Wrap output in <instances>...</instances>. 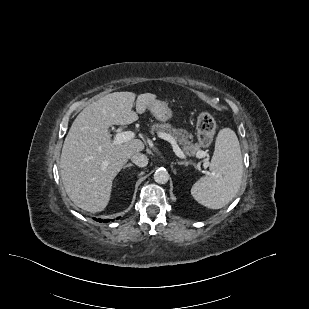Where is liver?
<instances>
[{"instance_id":"1","label":"liver","mask_w":309,"mask_h":309,"mask_svg":"<svg viewBox=\"0 0 309 309\" xmlns=\"http://www.w3.org/2000/svg\"><path fill=\"white\" fill-rule=\"evenodd\" d=\"M114 92L85 107L65 138L60 157V174L69 198L81 209L96 213L109 203L112 182L127 160L144 149L140 139L113 144L109 127L138 120L156 95Z\"/></svg>"}]
</instances>
